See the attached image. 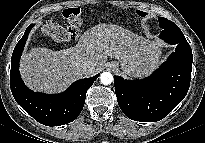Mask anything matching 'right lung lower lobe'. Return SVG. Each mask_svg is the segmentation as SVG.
Returning a JSON list of instances; mask_svg holds the SVG:
<instances>
[{"label": "right lung lower lobe", "mask_w": 205, "mask_h": 143, "mask_svg": "<svg viewBox=\"0 0 205 143\" xmlns=\"http://www.w3.org/2000/svg\"><path fill=\"white\" fill-rule=\"evenodd\" d=\"M28 26L14 48L11 58L10 88L16 102L36 121L46 126H59L74 121L81 113L86 92L99 74L74 82L64 93L49 95L35 93L23 83L19 73V60L32 28Z\"/></svg>", "instance_id": "right-lung-lower-lobe-1"}]
</instances>
